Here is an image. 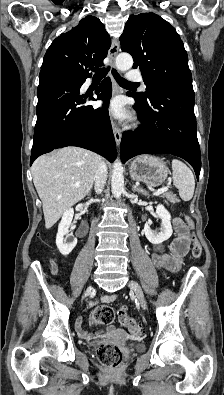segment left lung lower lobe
<instances>
[{"label": "left lung lower lobe", "instance_id": "1", "mask_svg": "<svg viewBox=\"0 0 224 395\" xmlns=\"http://www.w3.org/2000/svg\"><path fill=\"white\" fill-rule=\"evenodd\" d=\"M135 110L142 126L128 136L125 132L121 141V159L139 154H172L189 162L199 179L201 154L197 139L194 114L195 96L192 91L162 92L144 101L135 93Z\"/></svg>", "mask_w": 224, "mask_h": 395}]
</instances>
